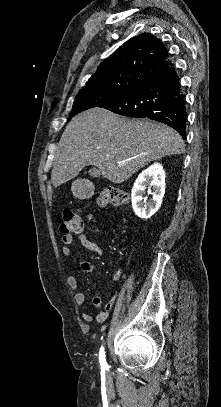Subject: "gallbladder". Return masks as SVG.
Wrapping results in <instances>:
<instances>
[{"mask_svg":"<svg viewBox=\"0 0 221 407\" xmlns=\"http://www.w3.org/2000/svg\"><path fill=\"white\" fill-rule=\"evenodd\" d=\"M89 175H91L93 177H97V176L100 175V172L96 168H92V169L89 170Z\"/></svg>","mask_w":221,"mask_h":407,"instance_id":"bac80fb5","label":"gallbladder"}]
</instances>
